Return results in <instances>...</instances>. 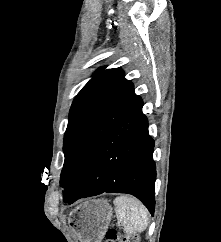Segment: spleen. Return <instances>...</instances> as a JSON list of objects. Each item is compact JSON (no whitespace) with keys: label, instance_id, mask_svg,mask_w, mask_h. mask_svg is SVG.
I'll return each instance as SVG.
<instances>
[{"label":"spleen","instance_id":"obj_1","mask_svg":"<svg viewBox=\"0 0 221 242\" xmlns=\"http://www.w3.org/2000/svg\"><path fill=\"white\" fill-rule=\"evenodd\" d=\"M115 213L123 223L126 234L143 232L148 226V212L144 205L135 197L122 195L114 200Z\"/></svg>","mask_w":221,"mask_h":242}]
</instances>
